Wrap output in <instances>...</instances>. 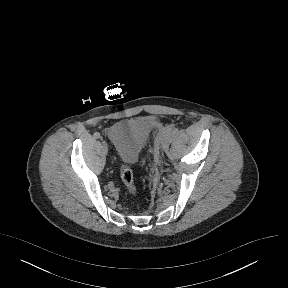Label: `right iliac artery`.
Wrapping results in <instances>:
<instances>
[{
	"label": "right iliac artery",
	"mask_w": 288,
	"mask_h": 288,
	"mask_svg": "<svg viewBox=\"0 0 288 288\" xmlns=\"http://www.w3.org/2000/svg\"><path fill=\"white\" fill-rule=\"evenodd\" d=\"M93 136H94V138H96V139H98V138L101 137V136H100V133H98V132H95Z\"/></svg>",
	"instance_id": "82829eb1"
}]
</instances>
